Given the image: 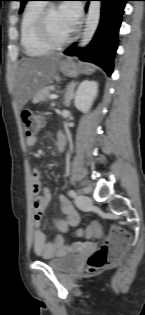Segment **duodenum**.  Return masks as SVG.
Returning <instances> with one entry per match:
<instances>
[{
    "label": "duodenum",
    "instance_id": "duodenum-1",
    "mask_svg": "<svg viewBox=\"0 0 145 315\" xmlns=\"http://www.w3.org/2000/svg\"><path fill=\"white\" fill-rule=\"evenodd\" d=\"M57 150L59 151V152H63L64 151V149H65V144L63 143V142H59V143H57Z\"/></svg>",
    "mask_w": 145,
    "mask_h": 315
}]
</instances>
